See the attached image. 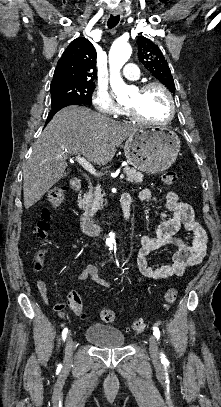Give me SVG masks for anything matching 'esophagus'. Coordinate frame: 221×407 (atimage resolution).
<instances>
[{"label":"esophagus","instance_id":"esophagus-1","mask_svg":"<svg viewBox=\"0 0 221 407\" xmlns=\"http://www.w3.org/2000/svg\"><path fill=\"white\" fill-rule=\"evenodd\" d=\"M112 14L116 16V15H119L120 12L119 11H114V12H112Z\"/></svg>","mask_w":221,"mask_h":407}]
</instances>
